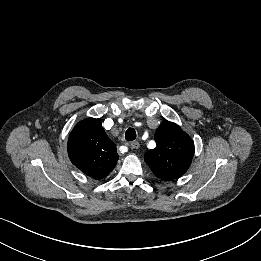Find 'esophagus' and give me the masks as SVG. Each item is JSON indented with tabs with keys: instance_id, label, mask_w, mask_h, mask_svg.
Wrapping results in <instances>:
<instances>
[{
	"instance_id": "esophagus-1",
	"label": "esophagus",
	"mask_w": 261,
	"mask_h": 261,
	"mask_svg": "<svg viewBox=\"0 0 261 261\" xmlns=\"http://www.w3.org/2000/svg\"><path fill=\"white\" fill-rule=\"evenodd\" d=\"M130 146L133 148V149H138L140 147V144L139 142L137 141H133L131 142Z\"/></svg>"
}]
</instances>
